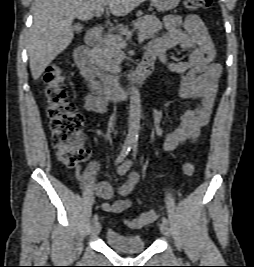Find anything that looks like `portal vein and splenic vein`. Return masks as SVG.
<instances>
[{
	"mask_svg": "<svg viewBox=\"0 0 254 267\" xmlns=\"http://www.w3.org/2000/svg\"><path fill=\"white\" fill-rule=\"evenodd\" d=\"M103 12H104V9L103 8H97L95 10L96 17H101V15L103 14ZM144 40H145V36L144 35H139L138 36L139 43H142ZM123 46L125 47L126 46V43H124Z\"/></svg>",
	"mask_w": 254,
	"mask_h": 267,
	"instance_id": "portal-vein-and-splenic-vein-1",
	"label": "portal vein and splenic vein"
}]
</instances>
